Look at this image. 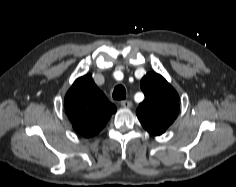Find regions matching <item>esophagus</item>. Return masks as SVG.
Wrapping results in <instances>:
<instances>
[{
	"mask_svg": "<svg viewBox=\"0 0 236 187\" xmlns=\"http://www.w3.org/2000/svg\"><path fill=\"white\" fill-rule=\"evenodd\" d=\"M121 106L123 108H131L132 107V102L128 100H123L121 101Z\"/></svg>",
	"mask_w": 236,
	"mask_h": 187,
	"instance_id": "1",
	"label": "esophagus"
}]
</instances>
